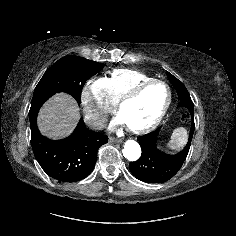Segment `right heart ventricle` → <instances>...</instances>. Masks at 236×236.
I'll list each match as a JSON object with an SVG mask.
<instances>
[{
	"instance_id": "e07e8e85",
	"label": "right heart ventricle",
	"mask_w": 236,
	"mask_h": 236,
	"mask_svg": "<svg viewBox=\"0 0 236 236\" xmlns=\"http://www.w3.org/2000/svg\"><path fill=\"white\" fill-rule=\"evenodd\" d=\"M154 79L146 73L129 68H117L110 71L104 78L108 98L113 103L127 94L136 85Z\"/></svg>"
}]
</instances>
